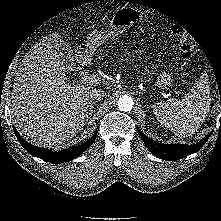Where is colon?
I'll return each instance as SVG.
<instances>
[{
  "instance_id": "1",
  "label": "colon",
  "mask_w": 221,
  "mask_h": 221,
  "mask_svg": "<svg viewBox=\"0 0 221 221\" xmlns=\"http://www.w3.org/2000/svg\"><path fill=\"white\" fill-rule=\"evenodd\" d=\"M172 32L177 36L179 40V49L182 58L184 59L192 58L194 54L195 43L191 39V37L187 34L186 30L179 25H174L172 27Z\"/></svg>"
}]
</instances>
